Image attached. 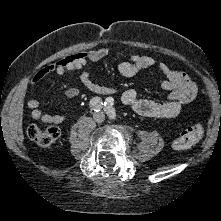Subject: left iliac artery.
Instances as JSON below:
<instances>
[{
  "label": "left iliac artery",
  "instance_id": "1",
  "mask_svg": "<svg viewBox=\"0 0 221 221\" xmlns=\"http://www.w3.org/2000/svg\"><path fill=\"white\" fill-rule=\"evenodd\" d=\"M114 99L112 97H108L106 101L104 102L105 105V111L110 119L115 120L116 119V112L113 107Z\"/></svg>",
  "mask_w": 221,
  "mask_h": 221
}]
</instances>
